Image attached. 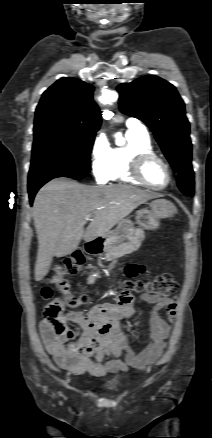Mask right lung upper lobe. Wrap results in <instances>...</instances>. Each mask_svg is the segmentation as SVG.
Instances as JSON below:
<instances>
[{"label":"right lung upper lobe","instance_id":"obj_1","mask_svg":"<svg viewBox=\"0 0 212 438\" xmlns=\"http://www.w3.org/2000/svg\"><path fill=\"white\" fill-rule=\"evenodd\" d=\"M93 86L80 79L64 77L42 95L36 108L34 132L59 129L95 133L101 112L92 98Z\"/></svg>","mask_w":212,"mask_h":438}]
</instances>
